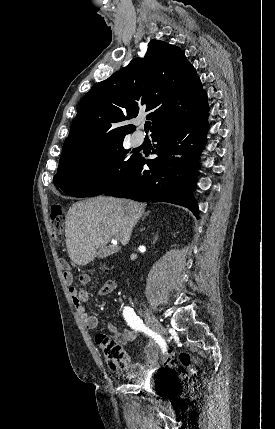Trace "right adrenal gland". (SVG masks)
Listing matches in <instances>:
<instances>
[{"label": "right adrenal gland", "instance_id": "obj_1", "mask_svg": "<svg viewBox=\"0 0 275 429\" xmlns=\"http://www.w3.org/2000/svg\"><path fill=\"white\" fill-rule=\"evenodd\" d=\"M149 213H150V211L145 213L144 217L142 218V221L146 218V216H148Z\"/></svg>", "mask_w": 275, "mask_h": 429}]
</instances>
